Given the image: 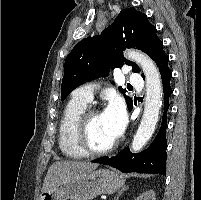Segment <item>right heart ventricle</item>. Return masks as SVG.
I'll return each mask as SVG.
<instances>
[{"label":"right heart ventricle","mask_w":201,"mask_h":200,"mask_svg":"<svg viewBox=\"0 0 201 200\" xmlns=\"http://www.w3.org/2000/svg\"><path fill=\"white\" fill-rule=\"evenodd\" d=\"M88 102L72 97L63 111L58 131V143L61 152L68 158L80 159L86 155L77 147L75 142V126L87 109Z\"/></svg>","instance_id":"obj_1"}]
</instances>
